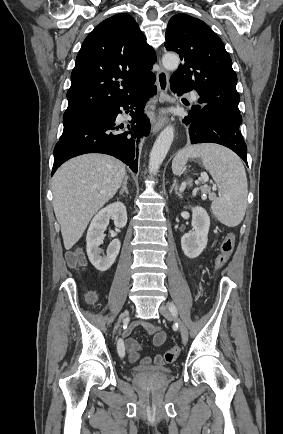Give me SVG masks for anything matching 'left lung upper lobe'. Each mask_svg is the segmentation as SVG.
<instances>
[{
  "mask_svg": "<svg viewBox=\"0 0 283 434\" xmlns=\"http://www.w3.org/2000/svg\"><path fill=\"white\" fill-rule=\"evenodd\" d=\"M165 47L177 52L182 60L170 79L196 90L200 96L198 103L240 113L237 76L230 55L206 23L187 14L174 15L167 26Z\"/></svg>",
  "mask_w": 283,
  "mask_h": 434,
  "instance_id": "1",
  "label": "left lung upper lobe"
}]
</instances>
